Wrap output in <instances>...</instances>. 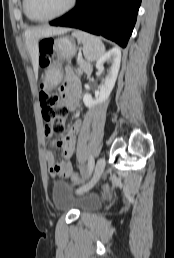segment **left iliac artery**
Returning <instances> with one entry per match:
<instances>
[{"label": "left iliac artery", "instance_id": "left-iliac-artery-1", "mask_svg": "<svg viewBox=\"0 0 174 258\" xmlns=\"http://www.w3.org/2000/svg\"><path fill=\"white\" fill-rule=\"evenodd\" d=\"M93 168H94V159H93V157L91 156V157L89 158V162H88V169H89L88 175H90V174L92 173Z\"/></svg>", "mask_w": 174, "mask_h": 258}]
</instances>
